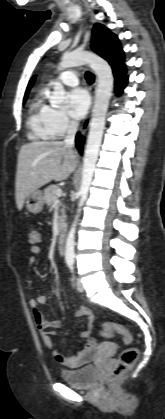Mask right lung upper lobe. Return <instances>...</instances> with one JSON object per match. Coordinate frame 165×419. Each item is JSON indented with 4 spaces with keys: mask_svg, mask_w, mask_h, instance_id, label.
I'll return each mask as SVG.
<instances>
[{
    "mask_svg": "<svg viewBox=\"0 0 165 419\" xmlns=\"http://www.w3.org/2000/svg\"><path fill=\"white\" fill-rule=\"evenodd\" d=\"M34 79H35V77H33V78L30 80V82H29V84H28V86H27V90H26V95H25V96H27V93L29 92L30 88L32 87V85H33V83H34Z\"/></svg>",
    "mask_w": 165,
    "mask_h": 419,
    "instance_id": "cb5924a9",
    "label": "right lung upper lobe"
}]
</instances>
